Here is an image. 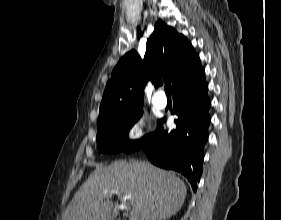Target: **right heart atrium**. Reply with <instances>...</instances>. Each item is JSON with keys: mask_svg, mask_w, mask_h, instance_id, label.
I'll use <instances>...</instances> for the list:
<instances>
[{"mask_svg": "<svg viewBox=\"0 0 281 220\" xmlns=\"http://www.w3.org/2000/svg\"><path fill=\"white\" fill-rule=\"evenodd\" d=\"M148 133L149 126L146 117L138 114L128 123L125 138L128 142L136 143L147 137Z\"/></svg>", "mask_w": 281, "mask_h": 220, "instance_id": "d8ad5b80", "label": "right heart atrium"}]
</instances>
